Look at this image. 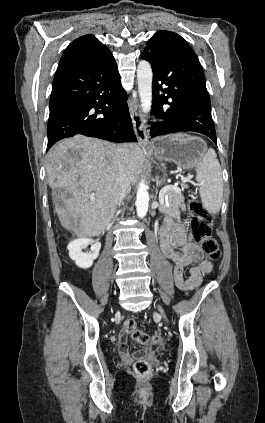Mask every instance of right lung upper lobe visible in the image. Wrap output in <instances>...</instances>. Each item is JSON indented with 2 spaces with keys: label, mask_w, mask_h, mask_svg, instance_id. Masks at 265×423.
Segmentation results:
<instances>
[{
  "label": "right lung upper lobe",
  "mask_w": 265,
  "mask_h": 423,
  "mask_svg": "<svg viewBox=\"0 0 265 423\" xmlns=\"http://www.w3.org/2000/svg\"><path fill=\"white\" fill-rule=\"evenodd\" d=\"M115 63L110 50L93 35L75 39L64 51L56 73L83 66H108Z\"/></svg>",
  "instance_id": "cb5924a9"
}]
</instances>
